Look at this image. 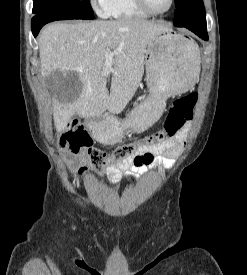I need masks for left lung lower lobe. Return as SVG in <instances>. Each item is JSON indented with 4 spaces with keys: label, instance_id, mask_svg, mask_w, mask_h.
<instances>
[{
    "label": "left lung lower lobe",
    "instance_id": "0a47b994",
    "mask_svg": "<svg viewBox=\"0 0 247 275\" xmlns=\"http://www.w3.org/2000/svg\"><path fill=\"white\" fill-rule=\"evenodd\" d=\"M177 27H185V28L191 30L192 32H194L197 36H199L203 40H205V41L208 40L206 26H177Z\"/></svg>",
    "mask_w": 247,
    "mask_h": 275
}]
</instances>
